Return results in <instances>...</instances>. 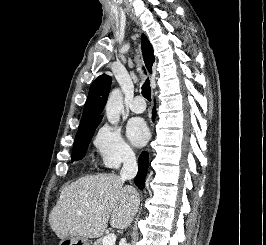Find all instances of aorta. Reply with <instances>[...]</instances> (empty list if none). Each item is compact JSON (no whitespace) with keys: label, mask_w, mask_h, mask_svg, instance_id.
<instances>
[{"label":"aorta","mask_w":266,"mask_h":245,"mask_svg":"<svg viewBox=\"0 0 266 245\" xmlns=\"http://www.w3.org/2000/svg\"><path fill=\"white\" fill-rule=\"evenodd\" d=\"M123 108V94L120 88H113L108 96L105 106L106 116L111 125H117L118 120H120V112Z\"/></svg>","instance_id":"obj_1"}]
</instances>
